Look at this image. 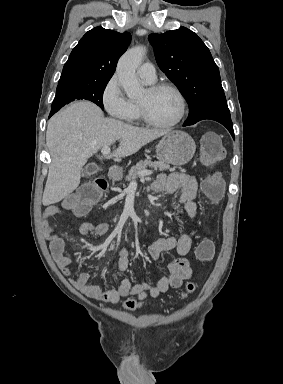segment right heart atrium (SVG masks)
I'll return each instance as SVG.
<instances>
[{
	"instance_id": "1",
	"label": "right heart atrium",
	"mask_w": 283,
	"mask_h": 384,
	"mask_svg": "<svg viewBox=\"0 0 283 384\" xmlns=\"http://www.w3.org/2000/svg\"><path fill=\"white\" fill-rule=\"evenodd\" d=\"M101 101L104 109L116 124L125 126L131 121L132 102L126 97L116 73L105 82L101 92Z\"/></svg>"
}]
</instances>
